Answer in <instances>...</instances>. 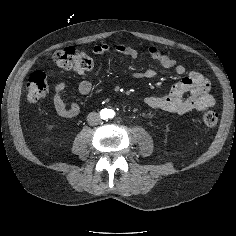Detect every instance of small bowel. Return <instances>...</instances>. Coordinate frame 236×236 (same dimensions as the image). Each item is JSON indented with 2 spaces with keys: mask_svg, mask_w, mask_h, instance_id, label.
I'll return each instance as SVG.
<instances>
[{
  "mask_svg": "<svg viewBox=\"0 0 236 236\" xmlns=\"http://www.w3.org/2000/svg\"><path fill=\"white\" fill-rule=\"evenodd\" d=\"M111 46L107 43H101L93 48V53L102 56L109 52ZM115 51L131 59L139 57V51L131 46L117 44ZM147 54L161 67L173 69L175 73L181 76L169 93L165 95H151L144 98V104L150 108L163 110L176 115H185L193 112H200L215 105L214 97L209 93V81L199 72H186L183 65L177 64L170 56L163 54L154 45L146 47ZM157 75L155 68L151 67L145 71H136L133 76L137 79H151ZM55 95L53 103L56 112L63 118H74L80 112V106L77 102L70 100L67 104L62 97L66 89V82L62 79L55 84ZM92 90V84L88 80H81L78 83V91L83 94H89ZM185 93H190L189 98H184Z\"/></svg>",
  "mask_w": 236,
  "mask_h": 236,
  "instance_id": "c3829d8e",
  "label": "small bowel"
}]
</instances>
